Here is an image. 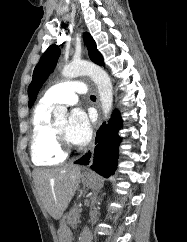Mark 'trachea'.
Returning a JSON list of instances; mask_svg holds the SVG:
<instances>
[{
	"label": "trachea",
	"mask_w": 187,
	"mask_h": 242,
	"mask_svg": "<svg viewBox=\"0 0 187 242\" xmlns=\"http://www.w3.org/2000/svg\"><path fill=\"white\" fill-rule=\"evenodd\" d=\"M90 98L91 99H96V97L94 95H91Z\"/></svg>",
	"instance_id": "trachea-1"
}]
</instances>
